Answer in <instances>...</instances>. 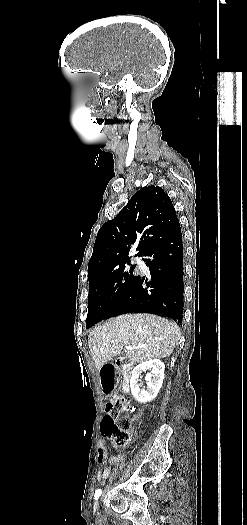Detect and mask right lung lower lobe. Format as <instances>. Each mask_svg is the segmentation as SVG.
<instances>
[{"label": "right lung lower lobe", "instance_id": "right-lung-lower-lobe-1", "mask_svg": "<svg viewBox=\"0 0 247 525\" xmlns=\"http://www.w3.org/2000/svg\"><path fill=\"white\" fill-rule=\"evenodd\" d=\"M148 256L151 281L137 276L114 313H155L181 322L183 317V243L179 227L151 245ZM146 286V287H145Z\"/></svg>", "mask_w": 247, "mask_h": 525}]
</instances>
